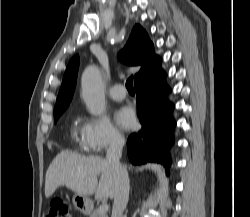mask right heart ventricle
Returning a JSON list of instances; mask_svg holds the SVG:
<instances>
[{
	"label": "right heart ventricle",
	"instance_id": "right-heart-ventricle-1",
	"mask_svg": "<svg viewBox=\"0 0 250 217\" xmlns=\"http://www.w3.org/2000/svg\"><path fill=\"white\" fill-rule=\"evenodd\" d=\"M72 134L77 137L79 135L81 139V131H82V126H80L77 122H74L72 125Z\"/></svg>",
	"mask_w": 250,
	"mask_h": 217
}]
</instances>
